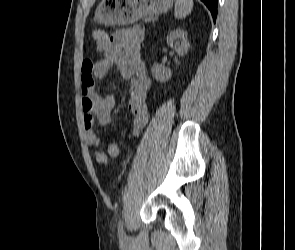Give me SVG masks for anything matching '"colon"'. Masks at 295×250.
Here are the masks:
<instances>
[{"instance_id":"obj_1","label":"colon","mask_w":295,"mask_h":250,"mask_svg":"<svg viewBox=\"0 0 295 250\" xmlns=\"http://www.w3.org/2000/svg\"><path fill=\"white\" fill-rule=\"evenodd\" d=\"M90 39L99 49L104 47L108 42L107 33L102 29H94L90 34ZM97 160L101 163H105L107 161V157L105 154H102L97 157Z\"/></svg>"}]
</instances>
